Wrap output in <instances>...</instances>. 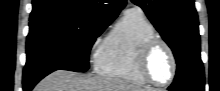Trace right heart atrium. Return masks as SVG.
Masks as SVG:
<instances>
[{"label":"right heart atrium","instance_id":"right-heart-atrium-1","mask_svg":"<svg viewBox=\"0 0 220 91\" xmlns=\"http://www.w3.org/2000/svg\"><path fill=\"white\" fill-rule=\"evenodd\" d=\"M99 40H100V38H99V37H98V38H96V39L94 40V42H93L92 46H93V47H95V46L98 44Z\"/></svg>","mask_w":220,"mask_h":91}]
</instances>
